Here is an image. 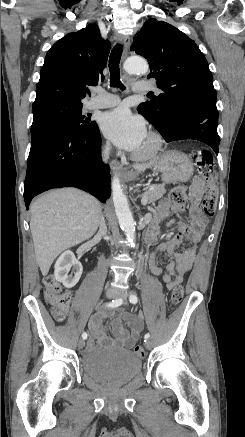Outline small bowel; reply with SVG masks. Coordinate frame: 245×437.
Listing matches in <instances>:
<instances>
[{
  "instance_id": "obj_1",
  "label": "small bowel",
  "mask_w": 245,
  "mask_h": 437,
  "mask_svg": "<svg viewBox=\"0 0 245 437\" xmlns=\"http://www.w3.org/2000/svg\"><path fill=\"white\" fill-rule=\"evenodd\" d=\"M203 191V182L200 179H196L191 187L187 206L184 204H176L169 200L162 201L159 206L158 219L150 227L149 232L154 238L158 221L167 220L172 214L187 212L189 216V223L179 221L176 224L172 236L168 237L163 243L156 247L151 255V271L156 275H163V281L166 283L168 290L179 286L183 282L184 276L191 269L194 262L198 244L204 236L208 220L198 207V199L203 194ZM183 241H188L190 246L182 253H174L175 248ZM162 253H166L169 257L165 272L156 264V259ZM106 317L107 314L101 311L95 313L91 318L89 327L92 337L88 344V349L93 350L97 345L96 342L103 345L116 344L123 348L132 347L136 343L142 330V316L116 315L111 325L115 339H112L103 329V322ZM123 321L128 324L131 332L123 328Z\"/></svg>"
}]
</instances>
